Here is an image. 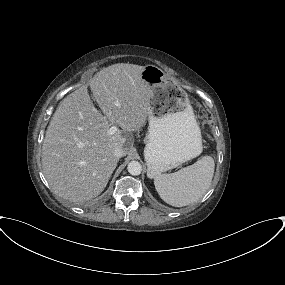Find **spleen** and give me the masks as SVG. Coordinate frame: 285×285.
<instances>
[{"mask_svg": "<svg viewBox=\"0 0 285 285\" xmlns=\"http://www.w3.org/2000/svg\"><path fill=\"white\" fill-rule=\"evenodd\" d=\"M214 169V159L204 156L177 172L157 175L154 185L163 201L175 207H183L204 196L211 185Z\"/></svg>", "mask_w": 285, "mask_h": 285, "instance_id": "obj_1", "label": "spleen"}]
</instances>
